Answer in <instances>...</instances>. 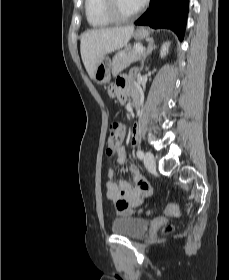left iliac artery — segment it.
I'll return each instance as SVG.
<instances>
[{
  "mask_svg": "<svg viewBox=\"0 0 229 280\" xmlns=\"http://www.w3.org/2000/svg\"><path fill=\"white\" fill-rule=\"evenodd\" d=\"M137 156L138 158L142 159L144 157V153L141 149L137 150Z\"/></svg>",
  "mask_w": 229,
  "mask_h": 280,
  "instance_id": "obj_1",
  "label": "left iliac artery"
}]
</instances>
